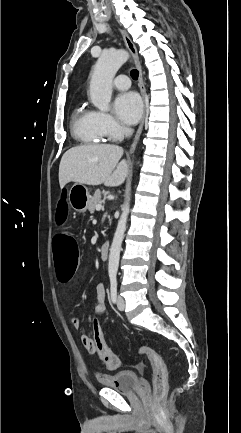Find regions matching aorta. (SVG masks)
Listing matches in <instances>:
<instances>
[{"label":"aorta","instance_id":"1","mask_svg":"<svg viewBox=\"0 0 241 433\" xmlns=\"http://www.w3.org/2000/svg\"><path fill=\"white\" fill-rule=\"evenodd\" d=\"M129 53L125 50L106 51L98 58L90 81V98L95 107L108 111L112 96V81L118 69L128 60ZM130 211L129 200L122 206V214L110 247L108 273L116 276L119 266L121 245L126 230Z\"/></svg>","mask_w":241,"mask_h":433}]
</instances>
